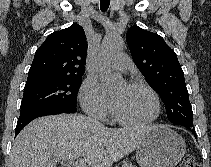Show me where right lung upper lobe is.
<instances>
[{
    "mask_svg": "<svg viewBox=\"0 0 211 167\" xmlns=\"http://www.w3.org/2000/svg\"><path fill=\"white\" fill-rule=\"evenodd\" d=\"M87 42L83 28L72 26L50 34L36 50L29 80L46 77H77L85 72Z\"/></svg>",
    "mask_w": 211,
    "mask_h": 167,
    "instance_id": "1",
    "label": "right lung upper lobe"
}]
</instances>
